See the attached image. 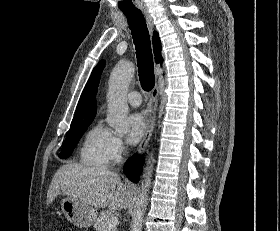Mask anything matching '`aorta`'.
<instances>
[{
	"label": "aorta",
	"mask_w": 280,
	"mask_h": 231,
	"mask_svg": "<svg viewBox=\"0 0 280 231\" xmlns=\"http://www.w3.org/2000/svg\"><path fill=\"white\" fill-rule=\"evenodd\" d=\"M134 74L135 66L131 62L117 64L110 74L107 94L108 116L106 121L110 127L117 131V135H123V133L129 131L127 90ZM153 161L154 159L150 155V159H148L149 165L146 167L143 175L139 197L134 207L130 231H141L142 229L143 217L148 203V191L152 183Z\"/></svg>",
	"instance_id": "1"
}]
</instances>
